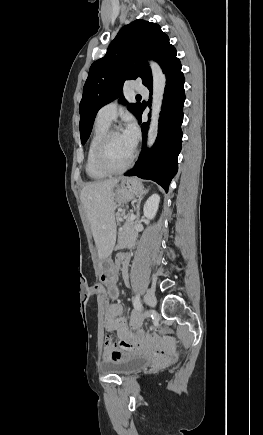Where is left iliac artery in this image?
Returning <instances> with one entry per match:
<instances>
[{"mask_svg":"<svg viewBox=\"0 0 263 435\" xmlns=\"http://www.w3.org/2000/svg\"><path fill=\"white\" fill-rule=\"evenodd\" d=\"M133 305H134V308L137 309V310H141L142 309V304H141V301H140L139 294H137L136 297L134 298Z\"/></svg>","mask_w":263,"mask_h":435,"instance_id":"44dca946","label":"left iliac artery"}]
</instances>
